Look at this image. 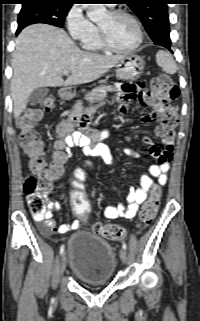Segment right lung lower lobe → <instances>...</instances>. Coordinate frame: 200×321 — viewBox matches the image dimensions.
Masks as SVG:
<instances>
[{
  "instance_id": "1",
  "label": "right lung lower lobe",
  "mask_w": 200,
  "mask_h": 321,
  "mask_svg": "<svg viewBox=\"0 0 200 321\" xmlns=\"http://www.w3.org/2000/svg\"><path fill=\"white\" fill-rule=\"evenodd\" d=\"M20 31L17 30L16 34H18Z\"/></svg>"
}]
</instances>
